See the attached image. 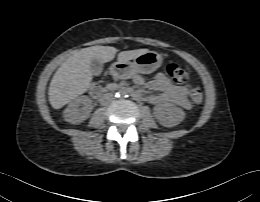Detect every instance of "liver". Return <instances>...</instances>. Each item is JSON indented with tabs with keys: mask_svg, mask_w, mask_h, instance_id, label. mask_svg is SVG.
<instances>
[{
	"mask_svg": "<svg viewBox=\"0 0 260 202\" xmlns=\"http://www.w3.org/2000/svg\"><path fill=\"white\" fill-rule=\"evenodd\" d=\"M117 51L110 46H93L83 48L65 60L55 72L49 86L51 106L60 109L85 93L93 78L90 70L91 61L98 59L101 63L109 62L114 59ZM148 51V49L123 51L118 54V61H129Z\"/></svg>",
	"mask_w": 260,
	"mask_h": 202,
	"instance_id": "liver-1",
	"label": "liver"
}]
</instances>
